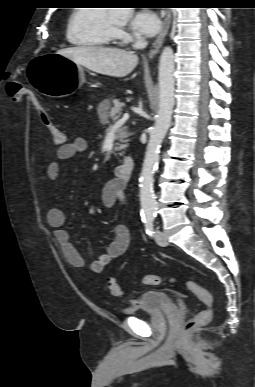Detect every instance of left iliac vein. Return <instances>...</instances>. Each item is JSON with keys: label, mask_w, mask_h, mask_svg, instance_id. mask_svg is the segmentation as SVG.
Listing matches in <instances>:
<instances>
[{"label": "left iliac vein", "mask_w": 255, "mask_h": 387, "mask_svg": "<svg viewBox=\"0 0 255 387\" xmlns=\"http://www.w3.org/2000/svg\"><path fill=\"white\" fill-rule=\"evenodd\" d=\"M155 240L157 244L160 246L168 245V240L166 235L160 230H155Z\"/></svg>", "instance_id": "1"}]
</instances>
